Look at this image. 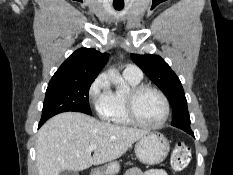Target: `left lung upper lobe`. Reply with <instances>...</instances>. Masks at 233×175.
Here are the masks:
<instances>
[{"label":"left lung upper lobe","instance_id":"1","mask_svg":"<svg viewBox=\"0 0 233 175\" xmlns=\"http://www.w3.org/2000/svg\"><path fill=\"white\" fill-rule=\"evenodd\" d=\"M131 58L168 98L173 108L171 124L185 132L192 131L183 87L169 65L157 55L131 54Z\"/></svg>","mask_w":233,"mask_h":175}]
</instances>
